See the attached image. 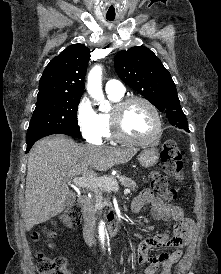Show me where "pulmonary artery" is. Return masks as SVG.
Returning <instances> with one entry per match:
<instances>
[{
	"instance_id": "pulmonary-artery-1",
	"label": "pulmonary artery",
	"mask_w": 221,
	"mask_h": 274,
	"mask_svg": "<svg viewBox=\"0 0 221 274\" xmlns=\"http://www.w3.org/2000/svg\"><path fill=\"white\" fill-rule=\"evenodd\" d=\"M105 89L107 93L116 94V95H123L125 92V87L122 84V82L116 79L109 80L106 83Z\"/></svg>"
}]
</instances>
